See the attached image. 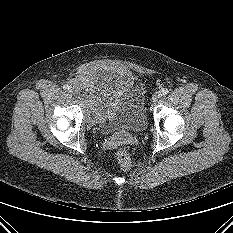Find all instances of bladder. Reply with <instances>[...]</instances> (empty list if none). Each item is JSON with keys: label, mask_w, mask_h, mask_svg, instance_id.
Listing matches in <instances>:
<instances>
[{"label": "bladder", "mask_w": 233, "mask_h": 233, "mask_svg": "<svg viewBox=\"0 0 233 233\" xmlns=\"http://www.w3.org/2000/svg\"><path fill=\"white\" fill-rule=\"evenodd\" d=\"M84 120L108 132H142L147 128L144 88L124 69L89 64L71 81Z\"/></svg>", "instance_id": "1"}]
</instances>
